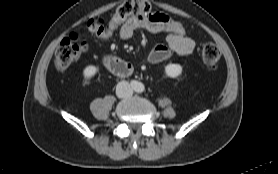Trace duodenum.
<instances>
[{
	"label": "duodenum",
	"mask_w": 278,
	"mask_h": 174,
	"mask_svg": "<svg viewBox=\"0 0 278 174\" xmlns=\"http://www.w3.org/2000/svg\"><path fill=\"white\" fill-rule=\"evenodd\" d=\"M105 65L111 72L121 76L127 74L131 70V66L127 62L117 57L106 58Z\"/></svg>",
	"instance_id": "duodenum-1"
}]
</instances>
